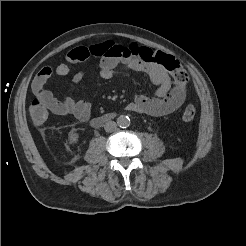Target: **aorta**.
Returning a JSON list of instances; mask_svg holds the SVG:
<instances>
[{"mask_svg": "<svg viewBox=\"0 0 246 246\" xmlns=\"http://www.w3.org/2000/svg\"><path fill=\"white\" fill-rule=\"evenodd\" d=\"M117 124L121 128H126L130 125V119L128 116L121 115L117 118Z\"/></svg>", "mask_w": 246, "mask_h": 246, "instance_id": "obj_1", "label": "aorta"}]
</instances>
